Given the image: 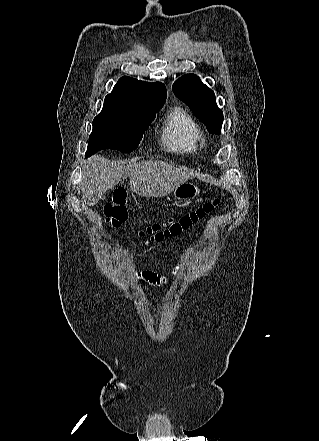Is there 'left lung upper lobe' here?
Returning a JSON list of instances; mask_svg holds the SVG:
<instances>
[{
  "mask_svg": "<svg viewBox=\"0 0 319 441\" xmlns=\"http://www.w3.org/2000/svg\"><path fill=\"white\" fill-rule=\"evenodd\" d=\"M172 89L206 126L209 133H221L223 113L217 107L214 92L204 85L198 76L184 75L175 81Z\"/></svg>",
  "mask_w": 319,
  "mask_h": 441,
  "instance_id": "obj_1",
  "label": "left lung upper lobe"
}]
</instances>
